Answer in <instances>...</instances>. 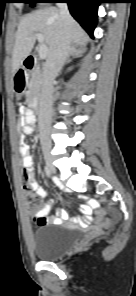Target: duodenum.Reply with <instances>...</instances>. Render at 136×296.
<instances>
[{"label":"duodenum","mask_w":136,"mask_h":296,"mask_svg":"<svg viewBox=\"0 0 136 296\" xmlns=\"http://www.w3.org/2000/svg\"><path fill=\"white\" fill-rule=\"evenodd\" d=\"M37 58L35 56H28L23 62V69L17 72L16 79L19 83H25V72L33 70L36 66Z\"/></svg>","instance_id":"410a0bca"}]
</instances>
